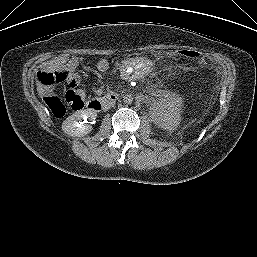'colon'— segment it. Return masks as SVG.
Masks as SVG:
<instances>
[{"label": "colon", "mask_w": 257, "mask_h": 257, "mask_svg": "<svg viewBox=\"0 0 257 257\" xmlns=\"http://www.w3.org/2000/svg\"><path fill=\"white\" fill-rule=\"evenodd\" d=\"M179 53L184 58L189 60H198L201 54L195 49L184 48L179 50ZM63 76L60 72H47L40 71L38 73V82L44 86H52L53 84L60 82ZM85 94L79 89H70L65 94V102L74 110H79L84 106ZM44 101L52 114L56 117H62L66 113V107L64 103L56 96L47 94L44 96Z\"/></svg>", "instance_id": "obj_1"}]
</instances>
